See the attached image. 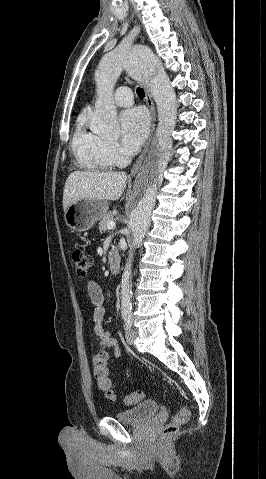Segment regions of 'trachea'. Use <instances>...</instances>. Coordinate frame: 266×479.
<instances>
[{
	"label": "trachea",
	"mask_w": 266,
	"mask_h": 479,
	"mask_svg": "<svg viewBox=\"0 0 266 479\" xmlns=\"http://www.w3.org/2000/svg\"><path fill=\"white\" fill-rule=\"evenodd\" d=\"M136 92H137V95L141 98H143L145 96L144 90L140 87L137 88Z\"/></svg>",
	"instance_id": "trachea-1"
}]
</instances>
